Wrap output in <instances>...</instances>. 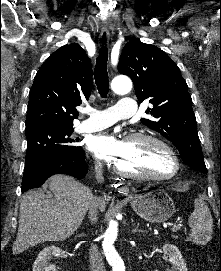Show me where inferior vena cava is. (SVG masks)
<instances>
[{
  "mask_svg": "<svg viewBox=\"0 0 221 271\" xmlns=\"http://www.w3.org/2000/svg\"><path fill=\"white\" fill-rule=\"evenodd\" d=\"M95 171L99 173L100 177L98 181H103L104 177L102 175L103 173V165L102 163H95ZM90 205H89V211H88V217L91 221V223H96L98 221V205H97V199L96 195H93L91 193L90 195ZM89 261H90V271H106V267L103 263L102 255L99 253L97 249V245H91L89 249Z\"/></svg>",
  "mask_w": 221,
  "mask_h": 271,
  "instance_id": "1",
  "label": "inferior vena cava"
}]
</instances>
